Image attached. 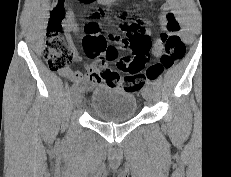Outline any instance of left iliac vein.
Wrapping results in <instances>:
<instances>
[{"label": "left iliac vein", "instance_id": "left-iliac-vein-1", "mask_svg": "<svg viewBox=\"0 0 231 177\" xmlns=\"http://www.w3.org/2000/svg\"><path fill=\"white\" fill-rule=\"evenodd\" d=\"M144 99L147 101V102H151L152 100V97H153V91H152V88L148 85L144 88L143 90V93H142Z\"/></svg>", "mask_w": 231, "mask_h": 177}]
</instances>
